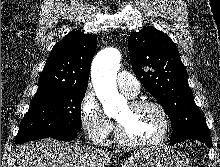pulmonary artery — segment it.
I'll use <instances>...</instances> for the list:
<instances>
[{
  "label": "pulmonary artery",
  "instance_id": "e3ab8cb5",
  "mask_svg": "<svg viewBox=\"0 0 220 167\" xmlns=\"http://www.w3.org/2000/svg\"><path fill=\"white\" fill-rule=\"evenodd\" d=\"M117 84L119 89L130 98L136 96L140 91L138 80L126 71H120L118 73Z\"/></svg>",
  "mask_w": 220,
  "mask_h": 167
}]
</instances>
